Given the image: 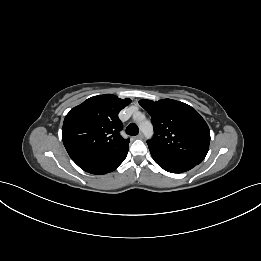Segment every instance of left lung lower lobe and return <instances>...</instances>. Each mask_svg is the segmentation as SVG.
<instances>
[{
	"label": "left lung lower lobe",
	"mask_w": 261,
	"mask_h": 261,
	"mask_svg": "<svg viewBox=\"0 0 261 261\" xmlns=\"http://www.w3.org/2000/svg\"><path fill=\"white\" fill-rule=\"evenodd\" d=\"M150 153L154 159V161L164 170L171 172V173H182V172H186L190 169H192L193 167H195L197 165V163L186 160V159H182V158H178V157H174V156H170L167 154H164L162 152L156 151L152 148H149Z\"/></svg>",
	"instance_id": "obj_1"
}]
</instances>
